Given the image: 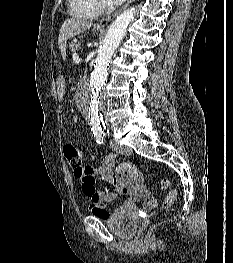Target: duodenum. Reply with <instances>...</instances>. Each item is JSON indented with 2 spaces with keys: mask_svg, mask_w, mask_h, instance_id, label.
<instances>
[{
  "mask_svg": "<svg viewBox=\"0 0 233 263\" xmlns=\"http://www.w3.org/2000/svg\"><path fill=\"white\" fill-rule=\"evenodd\" d=\"M79 77L81 78V83H88V74L87 73H80Z\"/></svg>",
  "mask_w": 233,
  "mask_h": 263,
  "instance_id": "410a0bca",
  "label": "duodenum"
}]
</instances>
